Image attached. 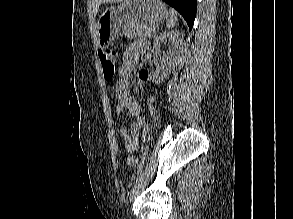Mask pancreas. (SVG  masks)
<instances>
[{"instance_id": "cf45deb5", "label": "pancreas", "mask_w": 293, "mask_h": 219, "mask_svg": "<svg viewBox=\"0 0 293 219\" xmlns=\"http://www.w3.org/2000/svg\"><path fill=\"white\" fill-rule=\"evenodd\" d=\"M157 29H158V25L155 23L134 24L126 31V35L129 38H134V37L152 38L155 36Z\"/></svg>"}]
</instances>
